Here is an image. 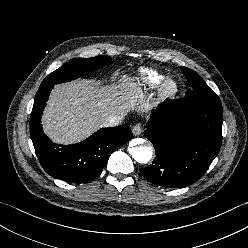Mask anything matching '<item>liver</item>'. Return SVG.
Wrapping results in <instances>:
<instances>
[{"label": "liver", "instance_id": "6515ba94", "mask_svg": "<svg viewBox=\"0 0 248 248\" xmlns=\"http://www.w3.org/2000/svg\"><path fill=\"white\" fill-rule=\"evenodd\" d=\"M134 81L101 86L80 79L54 86L42 117L44 132L56 143L71 144L104 127L110 115L148 112L153 105L145 102L142 88Z\"/></svg>", "mask_w": 248, "mask_h": 248}]
</instances>
